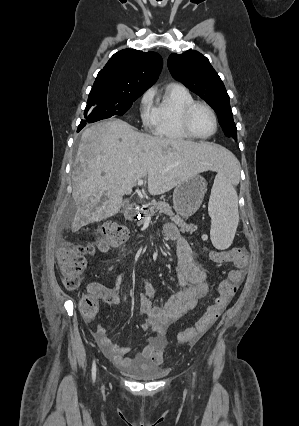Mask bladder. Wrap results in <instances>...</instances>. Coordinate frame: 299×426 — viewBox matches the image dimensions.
Instances as JSON below:
<instances>
[{
    "mask_svg": "<svg viewBox=\"0 0 299 426\" xmlns=\"http://www.w3.org/2000/svg\"><path fill=\"white\" fill-rule=\"evenodd\" d=\"M124 372L140 381H154L165 376L166 372L162 367L159 366H136L125 368Z\"/></svg>",
    "mask_w": 299,
    "mask_h": 426,
    "instance_id": "obj_1",
    "label": "bladder"
}]
</instances>
